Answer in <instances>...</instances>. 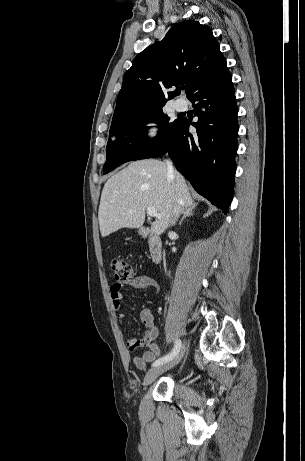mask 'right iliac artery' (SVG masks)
<instances>
[{
  "label": "right iliac artery",
  "mask_w": 305,
  "mask_h": 461,
  "mask_svg": "<svg viewBox=\"0 0 305 461\" xmlns=\"http://www.w3.org/2000/svg\"><path fill=\"white\" fill-rule=\"evenodd\" d=\"M181 347H182V342H181V340H180V339H176L173 350H172L169 354H167V355H165V356H163V357L157 359V360L152 364V366H158V365H161V364H163V363H166V362L172 360V359L179 353Z\"/></svg>",
  "instance_id": "1"
}]
</instances>
